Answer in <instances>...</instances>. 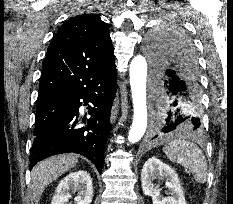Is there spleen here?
I'll use <instances>...</instances> for the list:
<instances>
[{"label": "spleen", "mask_w": 233, "mask_h": 204, "mask_svg": "<svg viewBox=\"0 0 233 204\" xmlns=\"http://www.w3.org/2000/svg\"><path fill=\"white\" fill-rule=\"evenodd\" d=\"M163 152L171 162L187 168L197 183H206L207 162L202 150L196 144L183 138L174 139L163 147Z\"/></svg>", "instance_id": "1"}]
</instances>
